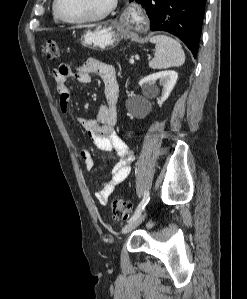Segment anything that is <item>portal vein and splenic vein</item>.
Here are the masks:
<instances>
[{
	"label": "portal vein and splenic vein",
	"mask_w": 247,
	"mask_h": 299,
	"mask_svg": "<svg viewBox=\"0 0 247 299\" xmlns=\"http://www.w3.org/2000/svg\"><path fill=\"white\" fill-rule=\"evenodd\" d=\"M129 62H130V64H134V59L133 58H131L130 60H129Z\"/></svg>",
	"instance_id": "portal-vein-and-splenic-vein-1"
}]
</instances>
